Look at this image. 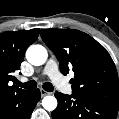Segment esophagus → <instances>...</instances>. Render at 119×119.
Segmentation results:
<instances>
[{
  "mask_svg": "<svg viewBox=\"0 0 119 119\" xmlns=\"http://www.w3.org/2000/svg\"><path fill=\"white\" fill-rule=\"evenodd\" d=\"M40 93H41V96L44 97L46 95H48L49 93L43 89H40Z\"/></svg>",
  "mask_w": 119,
  "mask_h": 119,
  "instance_id": "1",
  "label": "esophagus"
}]
</instances>
